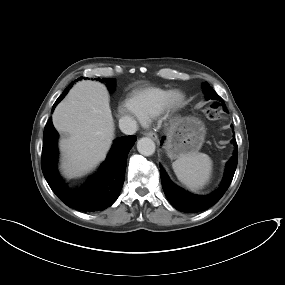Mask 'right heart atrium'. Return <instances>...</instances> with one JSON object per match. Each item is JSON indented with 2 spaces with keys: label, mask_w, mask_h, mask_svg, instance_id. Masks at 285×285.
<instances>
[{
  "label": "right heart atrium",
  "mask_w": 285,
  "mask_h": 285,
  "mask_svg": "<svg viewBox=\"0 0 285 285\" xmlns=\"http://www.w3.org/2000/svg\"><path fill=\"white\" fill-rule=\"evenodd\" d=\"M118 113L123 118H131L134 112L129 108L127 104H123L118 107Z\"/></svg>",
  "instance_id": "obj_1"
}]
</instances>
